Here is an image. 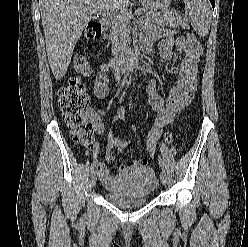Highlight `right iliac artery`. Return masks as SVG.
<instances>
[{
    "instance_id": "right-iliac-artery-1",
    "label": "right iliac artery",
    "mask_w": 248,
    "mask_h": 247,
    "mask_svg": "<svg viewBox=\"0 0 248 247\" xmlns=\"http://www.w3.org/2000/svg\"><path fill=\"white\" fill-rule=\"evenodd\" d=\"M125 94H126V91L123 92V94H122V96H121V99H120V103H121V101L124 99ZM95 167H96V161H93V162L91 163L89 172H90V173L94 172Z\"/></svg>"
}]
</instances>
